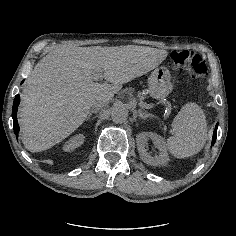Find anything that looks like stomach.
I'll return each instance as SVG.
<instances>
[{
  "mask_svg": "<svg viewBox=\"0 0 236 236\" xmlns=\"http://www.w3.org/2000/svg\"><path fill=\"white\" fill-rule=\"evenodd\" d=\"M171 75L166 68L155 69L148 78L149 95L154 99L168 96L172 91Z\"/></svg>",
  "mask_w": 236,
  "mask_h": 236,
  "instance_id": "stomach-1",
  "label": "stomach"
}]
</instances>
